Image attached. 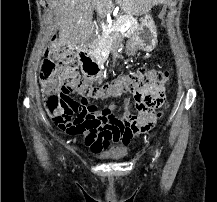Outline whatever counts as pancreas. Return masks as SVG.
Segmentation results:
<instances>
[{
  "instance_id": "obj_1",
  "label": "pancreas",
  "mask_w": 217,
  "mask_h": 202,
  "mask_svg": "<svg viewBox=\"0 0 217 202\" xmlns=\"http://www.w3.org/2000/svg\"><path fill=\"white\" fill-rule=\"evenodd\" d=\"M125 20H133V17H125ZM116 27L117 26L115 24L112 25V28L115 29ZM136 30H138V24H136V22H131V26H129L128 32H126L127 36H131V34H134ZM122 40L123 34H120V32H105V34H102L103 52L109 54L111 50H116V48H119L120 44H122Z\"/></svg>"
}]
</instances>
